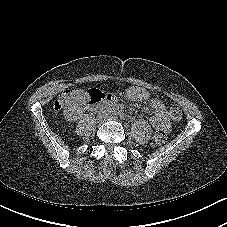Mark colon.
<instances>
[{"label": "colon", "mask_w": 227, "mask_h": 227, "mask_svg": "<svg viewBox=\"0 0 227 227\" xmlns=\"http://www.w3.org/2000/svg\"><path fill=\"white\" fill-rule=\"evenodd\" d=\"M67 94H68V91H65L56 100V102L54 104L55 111H59L62 108V106H63V104L65 102V99L67 97ZM169 114H170V117L174 121H180L181 118H182L181 109L178 106H176V105H174V106H172L170 108ZM166 138H167V136H166L165 131H163V130H157L155 132L154 136H153V144L154 145H161V144H163L166 141Z\"/></svg>", "instance_id": "1"}]
</instances>
